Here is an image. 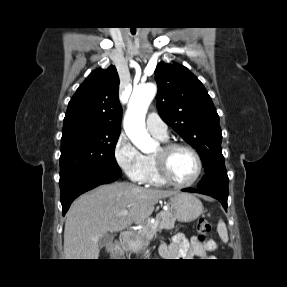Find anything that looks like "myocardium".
Returning a JSON list of instances; mask_svg holds the SVG:
<instances>
[{
    "mask_svg": "<svg viewBox=\"0 0 287 287\" xmlns=\"http://www.w3.org/2000/svg\"><path fill=\"white\" fill-rule=\"evenodd\" d=\"M178 149H184L193 154L197 162V172L194 178L188 182L182 183L175 180L169 172L168 158L169 156ZM155 164L160 177L167 183L184 188L190 187L195 184L202 175L203 172V161L199 152L192 146L183 143H167L160 147V152L154 156Z\"/></svg>",
    "mask_w": 287,
    "mask_h": 287,
    "instance_id": "obj_1",
    "label": "myocardium"
}]
</instances>
